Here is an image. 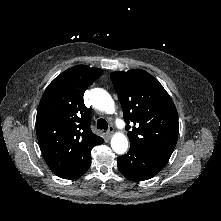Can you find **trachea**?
Masks as SVG:
<instances>
[{
	"label": "trachea",
	"instance_id": "1",
	"mask_svg": "<svg viewBox=\"0 0 221 221\" xmlns=\"http://www.w3.org/2000/svg\"><path fill=\"white\" fill-rule=\"evenodd\" d=\"M97 128L101 130H106L108 128V123L105 119L100 118L97 121Z\"/></svg>",
	"mask_w": 221,
	"mask_h": 221
}]
</instances>
